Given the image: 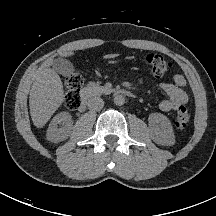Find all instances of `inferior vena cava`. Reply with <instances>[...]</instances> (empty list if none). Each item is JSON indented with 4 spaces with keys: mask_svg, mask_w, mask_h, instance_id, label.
<instances>
[{
    "mask_svg": "<svg viewBox=\"0 0 216 216\" xmlns=\"http://www.w3.org/2000/svg\"><path fill=\"white\" fill-rule=\"evenodd\" d=\"M104 106V101L100 97H92L88 100V108L93 111H100Z\"/></svg>",
    "mask_w": 216,
    "mask_h": 216,
    "instance_id": "1",
    "label": "inferior vena cava"
}]
</instances>
